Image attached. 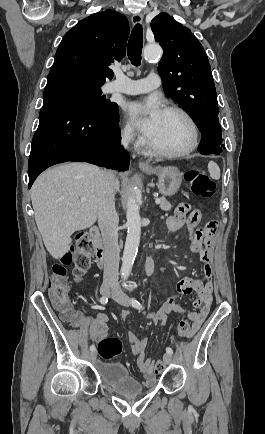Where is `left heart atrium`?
Segmentation results:
<instances>
[{
    "mask_svg": "<svg viewBox=\"0 0 265 434\" xmlns=\"http://www.w3.org/2000/svg\"><path fill=\"white\" fill-rule=\"evenodd\" d=\"M156 101L158 100L152 97L144 102L129 103L126 108L131 125L149 140L155 137L164 113Z\"/></svg>",
    "mask_w": 265,
    "mask_h": 434,
    "instance_id": "left-heart-atrium-1",
    "label": "left heart atrium"
}]
</instances>
